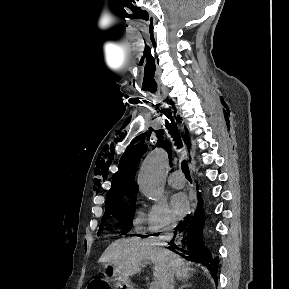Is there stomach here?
I'll use <instances>...</instances> for the list:
<instances>
[{"instance_id":"0dacf381","label":"stomach","mask_w":289,"mask_h":289,"mask_svg":"<svg viewBox=\"0 0 289 289\" xmlns=\"http://www.w3.org/2000/svg\"><path fill=\"white\" fill-rule=\"evenodd\" d=\"M103 270L109 280L119 289H133L129 278L119 274L114 266L109 263L103 264Z\"/></svg>"}]
</instances>
